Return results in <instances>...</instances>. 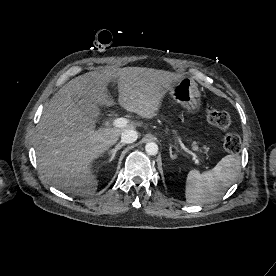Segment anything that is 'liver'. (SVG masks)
<instances>
[{"instance_id":"liver-1","label":"liver","mask_w":276,"mask_h":276,"mask_svg":"<svg viewBox=\"0 0 276 276\" xmlns=\"http://www.w3.org/2000/svg\"><path fill=\"white\" fill-rule=\"evenodd\" d=\"M182 78L169 71L125 67L92 71L70 80L51 98L37 126L35 151L43 176L60 190L91 196L98 184L91 164L118 141L123 131L134 128L128 124L95 130V119L75 104L73 97L113 106L107 86L116 79L120 106L151 119L166 93Z\"/></svg>"}]
</instances>
